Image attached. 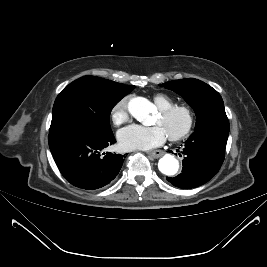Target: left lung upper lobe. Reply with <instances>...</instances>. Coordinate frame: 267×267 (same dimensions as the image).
<instances>
[{
	"label": "left lung upper lobe",
	"instance_id": "5c2ea615",
	"mask_svg": "<svg viewBox=\"0 0 267 267\" xmlns=\"http://www.w3.org/2000/svg\"><path fill=\"white\" fill-rule=\"evenodd\" d=\"M179 95L196 112L195 130L210 126H229L220 94L198 79H181L160 84Z\"/></svg>",
	"mask_w": 267,
	"mask_h": 267
}]
</instances>
